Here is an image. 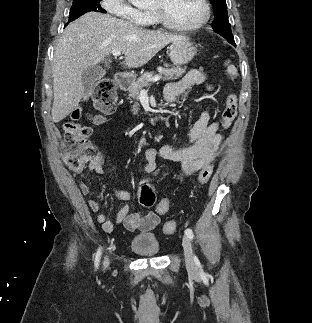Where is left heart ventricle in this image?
Returning a JSON list of instances; mask_svg holds the SVG:
<instances>
[{"label":"left heart ventricle","instance_id":"obj_1","mask_svg":"<svg viewBox=\"0 0 312 323\" xmlns=\"http://www.w3.org/2000/svg\"><path fill=\"white\" fill-rule=\"evenodd\" d=\"M162 14L172 22H193L194 18H205L202 0H166Z\"/></svg>","mask_w":312,"mask_h":323}]
</instances>
